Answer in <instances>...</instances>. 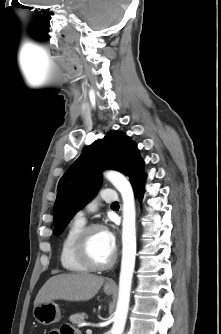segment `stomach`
<instances>
[{
    "instance_id": "stomach-1",
    "label": "stomach",
    "mask_w": 221,
    "mask_h": 334,
    "mask_svg": "<svg viewBox=\"0 0 221 334\" xmlns=\"http://www.w3.org/2000/svg\"><path fill=\"white\" fill-rule=\"evenodd\" d=\"M113 291V289L104 287V292L107 295L112 294ZM33 316L38 323L43 325H51L60 321L61 311L55 302H45L34 307Z\"/></svg>"
}]
</instances>
